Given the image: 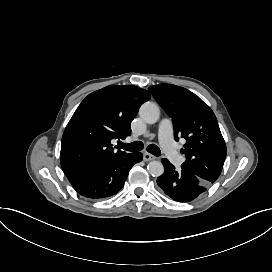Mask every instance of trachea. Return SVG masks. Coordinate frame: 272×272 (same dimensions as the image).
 Listing matches in <instances>:
<instances>
[{
    "instance_id": "obj_1",
    "label": "trachea",
    "mask_w": 272,
    "mask_h": 272,
    "mask_svg": "<svg viewBox=\"0 0 272 272\" xmlns=\"http://www.w3.org/2000/svg\"><path fill=\"white\" fill-rule=\"evenodd\" d=\"M143 146H144V144L141 141H135L133 143H123V142L118 143V148L124 149L127 151H133V152H137V151L142 150ZM147 151L155 156L160 155V149L154 144L148 145Z\"/></svg>"
}]
</instances>
